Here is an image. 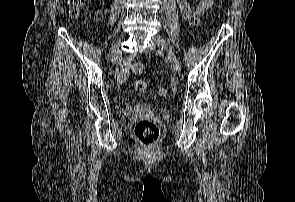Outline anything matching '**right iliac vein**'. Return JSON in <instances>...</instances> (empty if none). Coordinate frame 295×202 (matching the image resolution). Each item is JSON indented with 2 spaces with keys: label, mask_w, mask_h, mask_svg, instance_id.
<instances>
[{
  "label": "right iliac vein",
  "mask_w": 295,
  "mask_h": 202,
  "mask_svg": "<svg viewBox=\"0 0 295 202\" xmlns=\"http://www.w3.org/2000/svg\"><path fill=\"white\" fill-rule=\"evenodd\" d=\"M119 52H120V42L116 43L112 49V55H111L112 60L116 58Z\"/></svg>",
  "instance_id": "right-iliac-vein-1"
}]
</instances>
